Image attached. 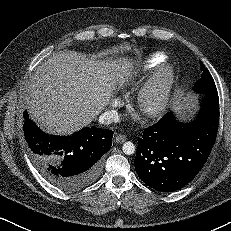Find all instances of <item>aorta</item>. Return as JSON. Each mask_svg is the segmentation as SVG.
<instances>
[{
  "instance_id": "1",
  "label": "aorta",
  "mask_w": 231,
  "mask_h": 231,
  "mask_svg": "<svg viewBox=\"0 0 231 231\" xmlns=\"http://www.w3.org/2000/svg\"><path fill=\"white\" fill-rule=\"evenodd\" d=\"M124 154L131 155L135 152V145L132 142H125L122 146Z\"/></svg>"
}]
</instances>
